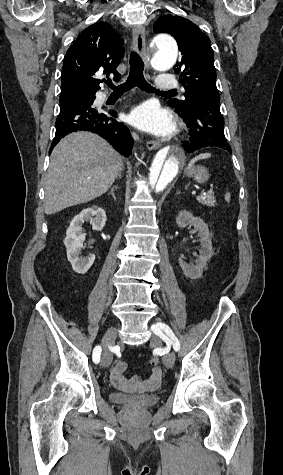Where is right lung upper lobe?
<instances>
[{"label":"right lung upper lobe","mask_w":283,"mask_h":475,"mask_svg":"<svg viewBox=\"0 0 283 475\" xmlns=\"http://www.w3.org/2000/svg\"><path fill=\"white\" fill-rule=\"evenodd\" d=\"M122 46L123 40L109 24L97 22L84 29L65 55L61 89L96 93L101 82L96 73L120 78L116 67L124 56Z\"/></svg>","instance_id":"obj_1"}]
</instances>
